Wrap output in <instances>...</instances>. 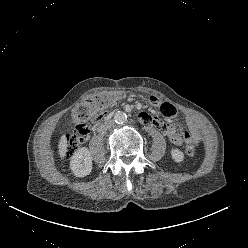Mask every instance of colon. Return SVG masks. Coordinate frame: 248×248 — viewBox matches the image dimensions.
I'll list each match as a JSON object with an SVG mask.
<instances>
[{
    "instance_id": "obj_1",
    "label": "colon",
    "mask_w": 248,
    "mask_h": 248,
    "mask_svg": "<svg viewBox=\"0 0 248 248\" xmlns=\"http://www.w3.org/2000/svg\"><path fill=\"white\" fill-rule=\"evenodd\" d=\"M120 93L105 92L89 98L75 107L71 117L74 132L66 138V154L72 156L89 134L91 125L89 121L96 115L110 107L119 97ZM155 101V100H154ZM189 155H195L198 145L190 142L186 148Z\"/></svg>"
}]
</instances>
